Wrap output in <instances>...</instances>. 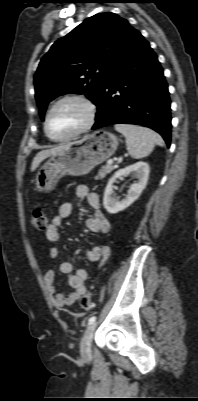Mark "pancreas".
Wrapping results in <instances>:
<instances>
[{
    "instance_id": "obj_1",
    "label": "pancreas",
    "mask_w": 198,
    "mask_h": 401,
    "mask_svg": "<svg viewBox=\"0 0 198 401\" xmlns=\"http://www.w3.org/2000/svg\"><path fill=\"white\" fill-rule=\"evenodd\" d=\"M115 169V167L112 164H106L105 166H102L100 169L98 175L95 177L96 180L98 179H103L107 174L112 172Z\"/></svg>"
}]
</instances>
